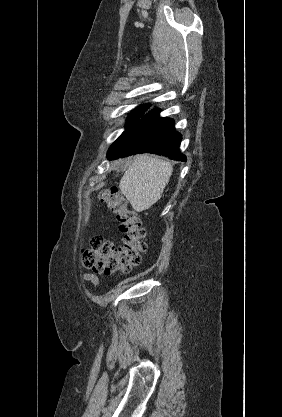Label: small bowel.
Masks as SVG:
<instances>
[{"instance_id": "small-bowel-1", "label": "small bowel", "mask_w": 282, "mask_h": 417, "mask_svg": "<svg viewBox=\"0 0 282 417\" xmlns=\"http://www.w3.org/2000/svg\"><path fill=\"white\" fill-rule=\"evenodd\" d=\"M81 278L85 282L91 283L94 287L99 285V277L93 273L83 272L81 273Z\"/></svg>"}]
</instances>
